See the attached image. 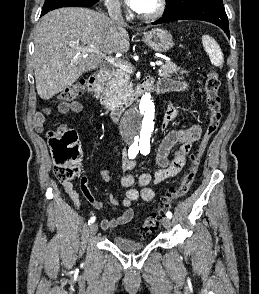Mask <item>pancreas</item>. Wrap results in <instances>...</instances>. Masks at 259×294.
Masks as SVG:
<instances>
[{
	"instance_id": "pancreas-1",
	"label": "pancreas",
	"mask_w": 259,
	"mask_h": 294,
	"mask_svg": "<svg viewBox=\"0 0 259 294\" xmlns=\"http://www.w3.org/2000/svg\"><path fill=\"white\" fill-rule=\"evenodd\" d=\"M184 73L187 72L172 62H166L158 70V74L161 77L176 75L178 79H183L184 77L182 75ZM131 89L132 85L129 72L122 69L114 70L104 83V89L102 91L103 104L107 108L129 104L132 101V96H129Z\"/></svg>"
}]
</instances>
